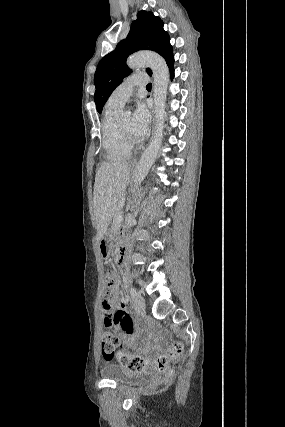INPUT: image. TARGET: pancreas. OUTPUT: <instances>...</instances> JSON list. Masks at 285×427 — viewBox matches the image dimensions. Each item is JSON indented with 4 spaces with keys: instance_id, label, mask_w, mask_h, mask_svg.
I'll return each instance as SVG.
<instances>
[{
    "instance_id": "cf45deb5",
    "label": "pancreas",
    "mask_w": 285,
    "mask_h": 427,
    "mask_svg": "<svg viewBox=\"0 0 285 427\" xmlns=\"http://www.w3.org/2000/svg\"><path fill=\"white\" fill-rule=\"evenodd\" d=\"M122 212L117 211L114 216V223H113V230L117 229L119 226V217L121 216Z\"/></svg>"
}]
</instances>
